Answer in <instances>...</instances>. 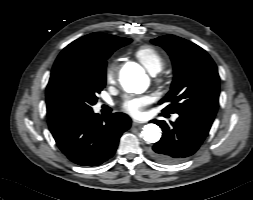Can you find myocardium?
<instances>
[{
	"mask_svg": "<svg viewBox=\"0 0 253 200\" xmlns=\"http://www.w3.org/2000/svg\"><path fill=\"white\" fill-rule=\"evenodd\" d=\"M155 81H156L157 84L161 85L163 83V78L162 77H157Z\"/></svg>",
	"mask_w": 253,
	"mask_h": 200,
	"instance_id": "obj_1",
	"label": "myocardium"
}]
</instances>
